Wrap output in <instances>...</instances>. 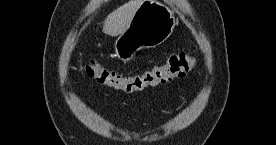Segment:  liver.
<instances>
[{"mask_svg":"<svg viewBox=\"0 0 276 145\" xmlns=\"http://www.w3.org/2000/svg\"><path fill=\"white\" fill-rule=\"evenodd\" d=\"M142 0H129L110 13L103 24V32L110 36L122 34L129 26Z\"/></svg>","mask_w":276,"mask_h":145,"instance_id":"6515ba94","label":"liver"}]
</instances>
